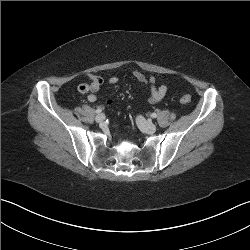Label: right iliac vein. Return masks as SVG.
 Returning a JSON list of instances; mask_svg holds the SVG:
<instances>
[{"instance_id":"63e3f726","label":"right iliac vein","mask_w":250,"mask_h":250,"mask_svg":"<svg viewBox=\"0 0 250 250\" xmlns=\"http://www.w3.org/2000/svg\"><path fill=\"white\" fill-rule=\"evenodd\" d=\"M97 123H103L105 120V115L104 114H98L95 118Z\"/></svg>"}]
</instances>
